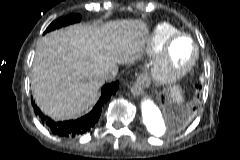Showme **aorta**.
<instances>
[{
    "label": "aorta",
    "mask_w": 240,
    "mask_h": 160,
    "mask_svg": "<svg viewBox=\"0 0 240 160\" xmlns=\"http://www.w3.org/2000/svg\"><path fill=\"white\" fill-rule=\"evenodd\" d=\"M142 120L147 130L156 136L162 135L165 131V123L159 107L149 99L141 103Z\"/></svg>",
    "instance_id": "762f6f07"
}]
</instances>
